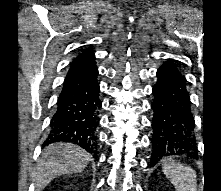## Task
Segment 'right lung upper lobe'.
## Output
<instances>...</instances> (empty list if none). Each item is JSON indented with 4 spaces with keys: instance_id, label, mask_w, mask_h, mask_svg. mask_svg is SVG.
<instances>
[{
    "instance_id": "right-lung-upper-lobe-1",
    "label": "right lung upper lobe",
    "mask_w": 221,
    "mask_h": 191,
    "mask_svg": "<svg viewBox=\"0 0 221 191\" xmlns=\"http://www.w3.org/2000/svg\"><path fill=\"white\" fill-rule=\"evenodd\" d=\"M88 52H91L90 50L89 51H84L83 53H88Z\"/></svg>"
}]
</instances>
